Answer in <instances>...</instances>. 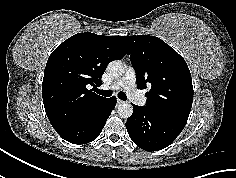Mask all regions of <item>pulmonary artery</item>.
Segmentation results:
<instances>
[{"label":"pulmonary artery","instance_id":"obj_1","mask_svg":"<svg viewBox=\"0 0 236 178\" xmlns=\"http://www.w3.org/2000/svg\"><path fill=\"white\" fill-rule=\"evenodd\" d=\"M136 80L135 69L128 67L124 76L109 88L112 90H123L135 104L144 105L146 103V97L136 88Z\"/></svg>","mask_w":236,"mask_h":178}]
</instances>
